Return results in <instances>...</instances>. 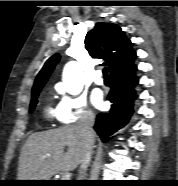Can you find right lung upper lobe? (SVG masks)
Listing matches in <instances>:
<instances>
[{
    "mask_svg": "<svg viewBox=\"0 0 178 186\" xmlns=\"http://www.w3.org/2000/svg\"><path fill=\"white\" fill-rule=\"evenodd\" d=\"M85 48L91 57L105 60L103 64L108 66L110 73L133 62L136 58L131 41L126 38L120 27L112 23H96L94 29L85 37ZM59 58L60 56L55 54L46 61L36 77L32 94L41 90Z\"/></svg>",
    "mask_w": 178,
    "mask_h": 186,
    "instance_id": "cb5924a9",
    "label": "right lung upper lobe"
}]
</instances>
